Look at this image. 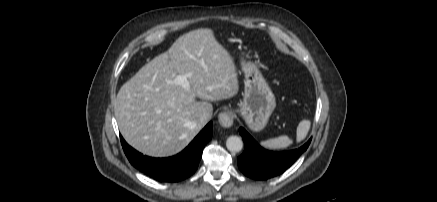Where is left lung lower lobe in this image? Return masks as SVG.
<instances>
[{
    "instance_id": "1",
    "label": "left lung lower lobe",
    "mask_w": 437,
    "mask_h": 202,
    "mask_svg": "<svg viewBox=\"0 0 437 202\" xmlns=\"http://www.w3.org/2000/svg\"><path fill=\"white\" fill-rule=\"evenodd\" d=\"M245 142L244 153L237 158L240 171L253 179L266 180L282 174L308 148L311 139L302 147L284 152L263 149L244 128L239 129Z\"/></svg>"
}]
</instances>
